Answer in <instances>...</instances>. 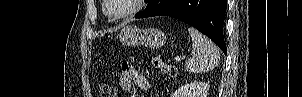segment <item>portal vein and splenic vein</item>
I'll return each mask as SVG.
<instances>
[{
	"mask_svg": "<svg viewBox=\"0 0 302 97\" xmlns=\"http://www.w3.org/2000/svg\"><path fill=\"white\" fill-rule=\"evenodd\" d=\"M176 61L177 62L181 61V57L180 56H176Z\"/></svg>",
	"mask_w": 302,
	"mask_h": 97,
	"instance_id": "obj_1",
	"label": "portal vein and splenic vein"
}]
</instances>
